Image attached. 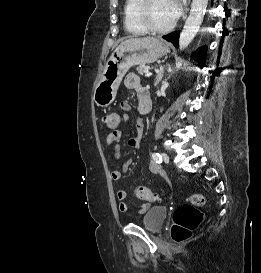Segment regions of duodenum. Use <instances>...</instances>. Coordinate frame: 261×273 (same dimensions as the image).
I'll return each instance as SVG.
<instances>
[{
  "instance_id": "410a0bca",
  "label": "duodenum",
  "mask_w": 261,
  "mask_h": 273,
  "mask_svg": "<svg viewBox=\"0 0 261 273\" xmlns=\"http://www.w3.org/2000/svg\"><path fill=\"white\" fill-rule=\"evenodd\" d=\"M151 108V99L148 93H146L143 97V101L140 106V112L142 114H146L150 111Z\"/></svg>"
}]
</instances>
